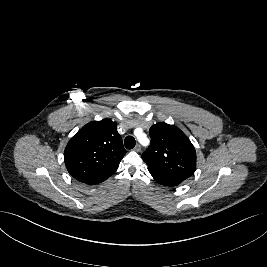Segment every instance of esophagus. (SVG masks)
<instances>
[{"label":"esophagus","mask_w":267,"mask_h":267,"mask_svg":"<svg viewBox=\"0 0 267 267\" xmlns=\"http://www.w3.org/2000/svg\"><path fill=\"white\" fill-rule=\"evenodd\" d=\"M133 150L136 151V152H140V151H141V146H140L139 144H137V145L134 147Z\"/></svg>","instance_id":"34e87169"}]
</instances>
